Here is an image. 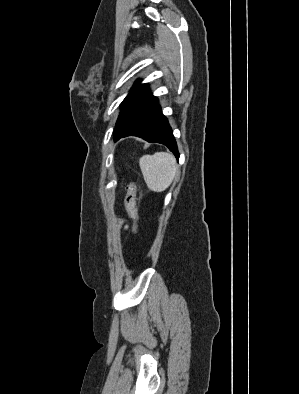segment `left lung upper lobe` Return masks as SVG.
<instances>
[{"label":"left lung upper lobe","mask_w":299,"mask_h":394,"mask_svg":"<svg viewBox=\"0 0 299 394\" xmlns=\"http://www.w3.org/2000/svg\"><path fill=\"white\" fill-rule=\"evenodd\" d=\"M147 84H140V80H137L131 89L130 93L126 96V98L121 103L122 111L118 117L117 122L124 116L127 110L131 107V105L135 102V100L147 89ZM116 122V124H117Z\"/></svg>","instance_id":"1"}]
</instances>
